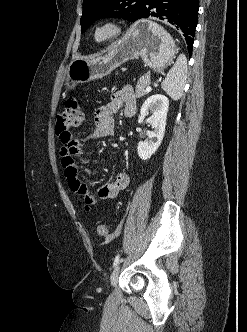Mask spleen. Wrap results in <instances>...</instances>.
<instances>
[{
	"instance_id": "3e777b00",
	"label": "spleen",
	"mask_w": 247,
	"mask_h": 332,
	"mask_svg": "<svg viewBox=\"0 0 247 332\" xmlns=\"http://www.w3.org/2000/svg\"><path fill=\"white\" fill-rule=\"evenodd\" d=\"M186 78L187 59L185 55L180 54L162 82L161 87L173 100H179L183 94Z\"/></svg>"
}]
</instances>
